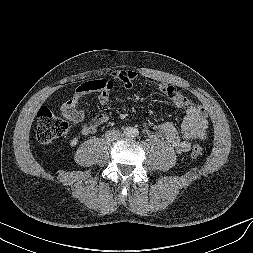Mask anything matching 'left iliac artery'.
Here are the masks:
<instances>
[{"instance_id": "1", "label": "left iliac artery", "mask_w": 253, "mask_h": 253, "mask_svg": "<svg viewBox=\"0 0 253 253\" xmlns=\"http://www.w3.org/2000/svg\"><path fill=\"white\" fill-rule=\"evenodd\" d=\"M138 135H139V131H138L137 129H134V130L132 131L131 136H132L133 138H135V137H137Z\"/></svg>"}]
</instances>
